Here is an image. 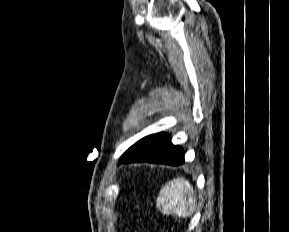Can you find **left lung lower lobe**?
<instances>
[{
    "label": "left lung lower lobe",
    "mask_w": 289,
    "mask_h": 232,
    "mask_svg": "<svg viewBox=\"0 0 289 232\" xmlns=\"http://www.w3.org/2000/svg\"><path fill=\"white\" fill-rule=\"evenodd\" d=\"M132 162H151L177 166L184 163V152L181 147L174 146L171 143L169 135L160 133L152 136L121 163Z\"/></svg>",
    "instance_id": "left-lung-lower-lobe-1"
}]
</instances>
